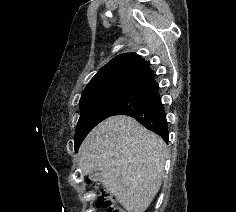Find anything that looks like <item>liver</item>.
<instances>
[{
    "instance_id": "obj_1",
    "label": "liver",
    "mask_w": 236,
    "mask_h": 212,
    "mask_svg": "<svg viewBox=\"0 0 236 212\" xmlns=\"http://www.w3.org/2000/svg\"><path fill=\"white\" fill-rule=\"evenodd\" d=\"M166 144L128 116L110 117L84 139L78 165L97 169L102 186L128 212H145L158 193L164 174Z\"/></svg>"
}]
</instances>
